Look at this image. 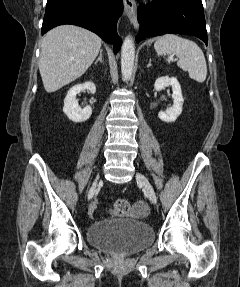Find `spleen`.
<instances>
[{
  "instance_id": "obj_1",
  "label": "spleen",
  "mask_w": 240,
  "mask_h": 287,
  "mask_svg": "<svg viewBox=\"0 0 240 287\" xmlns=\"http://www.w3.org/2000/svg\"><path fill=\"white\" fill-rule=\"evenodd\" d=\"M154 48L158 55H176L178 67L187 71L191 79L199 83L205 81L206 60L203 51L194 41L176 34H165L156 40Z\"/></svg>"
}]
</instances>
